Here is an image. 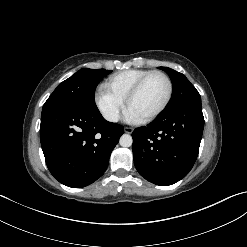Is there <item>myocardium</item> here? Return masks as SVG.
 I'll return each mask as SVG.
<instances>
[{"label": "myocardium", "instance_id": "1", "mask_svg": "<svg viewBox=\"0 0 247 247\" xmlns=\"http://www.w3.org/2000/svg\"><path fill=\"white\" fill-rule=\"evenodd\" d=\"M153 75H161L162 77L165 78L167 85H168V91H167V96L164 100V102L162 103V105L155 110L154 112H152L151 114H149L148 116L141 118L140 121L143 123H147L150 122L152 120H154L155 118H157L169 105L172 95H173V82L170 78V76L165 73L164 71L161 70H153L150 71L149 73H147L146 75H144L134 86L133 88L130 90V92L128 93L126 99H125V103H126V107L127 109H129L130 103L131 101L137 96V94L140 92V90L142 89L143 85L145 84V82Z\"/></svg>", "mask_w": 247, "mask_h": 247}]
</instances>
